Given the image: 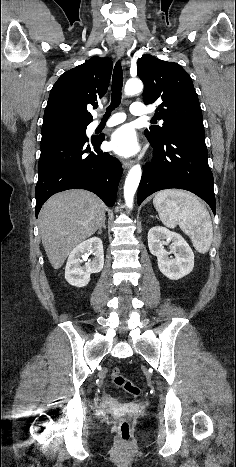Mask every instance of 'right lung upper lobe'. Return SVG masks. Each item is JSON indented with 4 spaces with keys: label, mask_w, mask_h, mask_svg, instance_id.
I'll list each match as a JSON object with an SVG mask.
<instances>
[{
    "label": "right lung upper lobe",
    "mask_w": 236,
    "mask_h": 467,
    "mask_svg": "<svg viewBox=\"0 0 236 467\" xmlns=\"http://www.w3.org/2000/svg\"><path fill=\"white\" fill-rule=\"evenodd\" d=\"M112 66L111 59L95 56L61 75L50 91L42 131L87 127L93 121L87 105L107 92Z\"/></svg>",
    "instance_id": "cb5924a9"
}]
</instances>
